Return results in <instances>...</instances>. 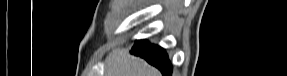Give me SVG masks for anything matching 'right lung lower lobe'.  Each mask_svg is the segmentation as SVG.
<instances>
[{
	"mask_svg": "<svg viewBox=\"0 0 287 76\" xmlns=\"http://www.w3.org/2000/svg\"><path fill=\"white\" fill-rule=\"evenodd\" d=\"M131 53L157 67L164 76H171L172 66L164 49L147 41H136Z\"/></svg>",
	"mask_w": 287,
	"mask_h": 76,
	"instance_id": "1",
	"label": "right lung lower lobe"
}]
</instances>
